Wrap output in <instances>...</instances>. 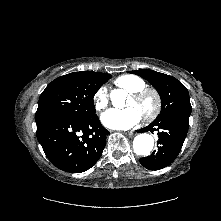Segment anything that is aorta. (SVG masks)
<instances>
[{"label": "aorta", "mask_w": 221, "mask_h": 221, "mask_svg": "<svg viewBox=\"0 0 221 221\" xmlns=\"http://www.w3.org/2000/svg\"><path fill=\"white\" fill-rule=\"evenodd\" d=\"M126 96L123 89H115L111 93V101L114 106H121L122 100ZM154 147V138L146 133L137 135L133 141V149L135 154L148 156Z\"/></svg>", "instance_id": "aorta-1"}]
</instances>
